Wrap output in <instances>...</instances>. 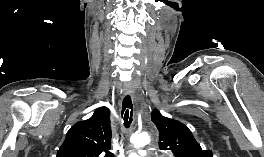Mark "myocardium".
I'll return each instance as SVG.
<instances>
[{"instance_id": "f54148a6", "label": "myocardium", "mask_w": 264, "mask_h": 157, "mask_svg": "<svg viewBox=\"0 0 264 157\" xmlns=\"http://www.w3.org/2000/svg\"><path fill=\"white\" fill-rule=\"evenodd\" d=\"M159 157H170V156L163 155V156H159Z\"/></svg>"}]
</instances>
